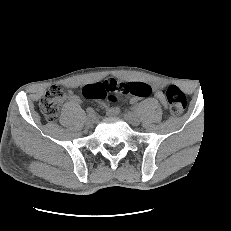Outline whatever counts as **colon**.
<instances>
[{
	"label": "colon",
	"mask_w": 231,
	"mask_h": 231,
	"mask_svg": "<svg viewBox=\"0 0 231 231\" xmlns=\"http://www.w3.org/2000/svg\"><path fill=\"white\" fill-rule=\"evenodd\" d=\"M151 93V87L142 82L124 83L106 80L87 85L83 88V95L88 99L114 98L115 94H131L140 98ZM67 91L60 85H52L40 100V111L48 121H54L60 111V105ZM165 104L173 115L181 114L187 105L185 94L176 86H167L163 91Z\"/></svg>",
	"instance_id": "1"
}]
</instances>
